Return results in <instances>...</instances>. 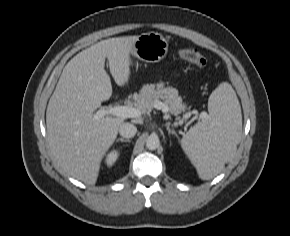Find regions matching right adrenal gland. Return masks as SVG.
<instances>
[{
	"instance_id": "right-adrenal-gland-1",
	"label": "right adrenal gland",
	"mask_w": 290,
	"mask_h": 236,
	"mask_svg": "<svg viewBox=\"0 0 290 236\" xmlns=\"http://www.w3.org/2000/svg\"><path fill=\"white\" fill-rule=\"evenodd\" d=\"M131 142V140L130 139H124V138H118V139H116V142Z\"/></svg>"
}]
</instances>
